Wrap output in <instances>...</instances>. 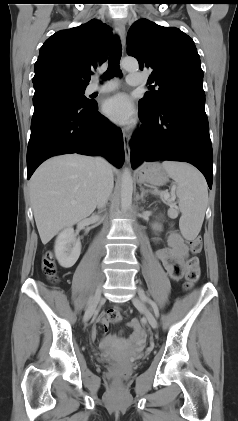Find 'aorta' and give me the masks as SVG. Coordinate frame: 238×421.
<instances>
[{"label":"aorta","instance_id":"aorta-1","mask_svg":"<svg viewBox=\"0 0 238 421\" xmlns=\"http://www.w3.org/2000/svg\"><path fill=\"white\" fill-rule=\"evenodd\" d=\"M121 67L126 71H136L139 68L138 61L133 57H126L120 63ZM133 180L131 173L125 169L122 174L121 182V208L126 211L130 209L132 204Z\"/></svg>","mask_w":238,"mask_h":421}]
</instances>
